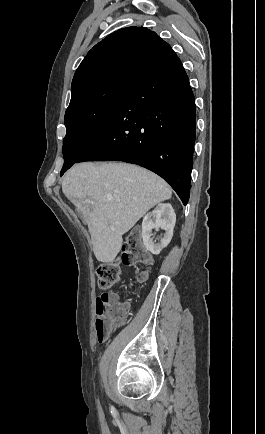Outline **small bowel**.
Masks as SVG:
<instances>
[{"label":"small bowel","instance_id":"small-bowel-1","mask_svg":"<svg viewBox=\"0 0 265 434\" xmlns=\"http://www.w3.org/2000/svg\"><path fill=\"white\" fill-rule=\"evenodd\" d=\"M125 319H126V317L123 319V322L125 321ZM113 325H116V324H113Z\"/></svg>","mask_w":265,"mask_h":434}]
</instances>
